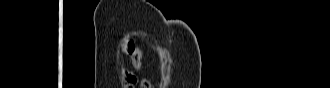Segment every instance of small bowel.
<instances>
[{
  "mask_svg": "<svg viewBox=\"0 0 330 88\" xmlns=\"http://www.w3.org/2000/svg\"><path fill=\"white\" fill-rule=\"evenodd\" d=\"M132 55V63L135 69L139 70L141 67V57H142V50L133 46L131 51ZM123 79L125 83L129 86H134L139 82V77L135 72L130 70H123Z\"/></svg>",
  "mask_w": 330,
  "mask_h": 88,
  "instance_id": "c3829d8e",
  "label": "small bowel"
}]
</instances>
